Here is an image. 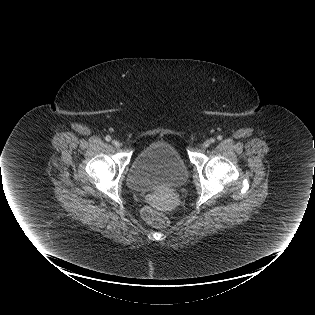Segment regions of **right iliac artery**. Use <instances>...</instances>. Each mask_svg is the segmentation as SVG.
Here are the masks:
<instances>
[{"label":"right iliac artery","mask_w":315,"mask_h":315,"mask_svg":"<svg viewBox=\"0 0 315 315\" xmlns=\"http://www.w3.org/2000/svg\"><path fill=\"white\" fill-rule=\"evenodd\" d=\"M105 140L109 142V141H111V137L110 136H106Z\"/></svg>","instance_id":"right-iliac-artery-1"}]
</instances>
